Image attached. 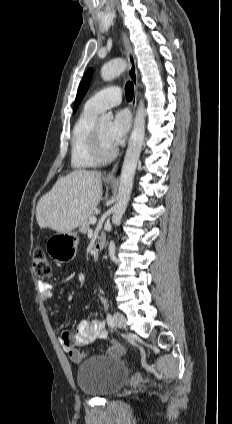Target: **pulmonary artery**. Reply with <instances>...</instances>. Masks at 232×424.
Instances as JSON below:
<instances>
[{
  "label": "pulmonary artery",
  "mask_w": 232,
  "mask_h": 424,
  "mask_svg": "<svg viewBox=\"0 0 232 424\" xmlns=\"http://www.w3.org/2000/svg\"><path fill=\"white\" fill-rule=\"evenodd\" d=\"M122 100V91L119 87L111 86L102 89L93 95L85 107L95 112H102L109 108L118 106Z\"/></svg>",
  "instance_id": "e3ab8cb5"
}]
</instances>
